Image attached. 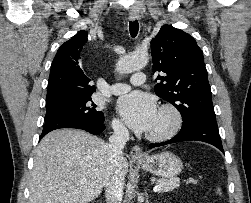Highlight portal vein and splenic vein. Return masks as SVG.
<instances>
[{"label": "portal vein and splenic vein", "instance_id": "18ae733b", "mask_svg": "<svg viewBox=\"0 0 251 203\" xmlns=\"http://www.w3.org/2000/svg\"><path fill=\"white\" fill-rule=\"evenodd\" d=\"M161 189H162V185H161V184H157V185L154 187L153 191H154V192H159Z\"/></svg>", "mask_w": 251, "mask_h": 203}]
</instances>
